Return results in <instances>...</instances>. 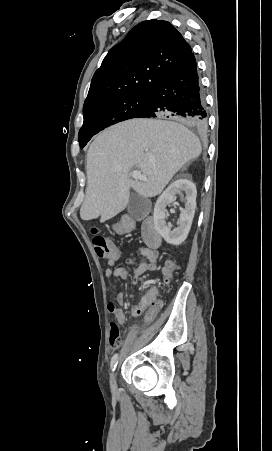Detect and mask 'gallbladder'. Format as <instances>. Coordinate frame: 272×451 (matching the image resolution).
Wrapping results in <instances>:
<instances>
[{
    "mask_svg": "<svg viewBox=\"0 0 272 451\" xmlns=\"http://www.w3.org/2000/svg\"><path fill=\"white\" fill-rule=\"evenodd\" d=\"M149 200L147 198H142L139 194H133L129 200L127 206L128 214L133 218V220H144L149 214V208L147 206Z\"/></svg>",
    "mask_w": 272,
    "mask_h": 451,
    "instance_id": "obj_1",
    "label": "gallbladder"
}]
</instances>
